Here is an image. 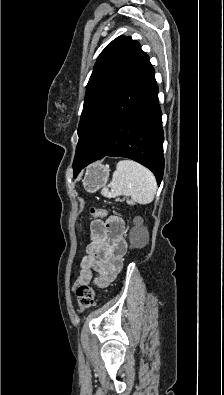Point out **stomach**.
<instances>
[{
  "mask_svg": "<svg viewBox=\"0 0 224 395\" xmlns=\"http://www.w3.org/2000/svg\"><path fill=\"white\" fill-rule=\"evenodd\" d=\"M110 169L107 165L100 163L89 166L82 180L84 189L87 192L94 193L101 187H104L109 178Z\"/></svg>",
  "mask_w": 224,
  "mask_h": 395,
  "instance_id": "1",
  "label": "stomach"
}]
</instances>
